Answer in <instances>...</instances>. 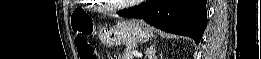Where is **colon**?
Instances as JSON below:
<instances>
[{"label":"colon","instance_id":"obj_1","mask_svg":"<svg viewBox=\"0 0 261 59\" xmlns=\"http://www.w3.org/2000/svg\"><path fill=\"white\" fill-rule=\"evenodd\" d=\"M71 29L75 36V45L79 58L98 59L95 48L87 39L94 33L93 21L81 12H74L71 17Z\"/></svg>","mask_w":261,"mask_h":59}]
</instances>
